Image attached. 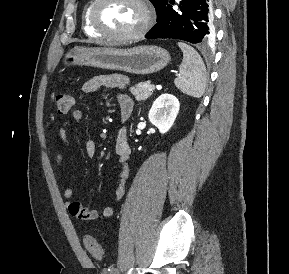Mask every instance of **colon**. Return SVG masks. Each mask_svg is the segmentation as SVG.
Instances as JSON below:
<instances>
[{
	"label": "colon",
	"instance_id": "1",
	"mask_svg": "<svg viewBox=\"0 0 289 274\" xmlns=\"http://www.w3.org/2000/svg\"><path fill=\"white\" fill-rule=\"evenodd\" d=\"M73 96L67 91H60L55 95L54 104L59 114H67L73 107ZM85 246L88 252L96 259L103 258V249L99 242L92 236L85 238Z\"/></svg>",
	"mask_w": 289,
	"mask_h": 274
}]
</instances>
